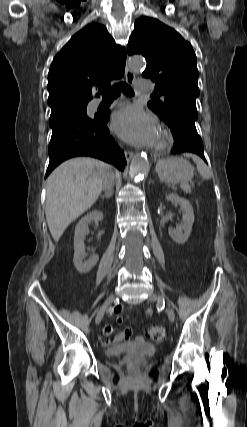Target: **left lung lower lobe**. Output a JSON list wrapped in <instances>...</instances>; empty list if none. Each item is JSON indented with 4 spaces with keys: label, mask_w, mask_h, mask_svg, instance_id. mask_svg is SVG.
I'll list each match as a JSON object with an SVG mask.
<instances>
[{
    "label": "left lung lower lobe",
    "mask_w": 247,
    "mask_h": 427,
    "mask_svg": "<svg viewBox=\"0 0 247 427\" xmlns=\"http://www.w3.org/2000/svg\"><path fill=\"white\" fill-rule=\"evenodd\" d=\"M167 125L171 128L172 135L176 140V143L171 149V153H193L206 162L203 143L197 133L195 121H191L184 117H176L169 121Z\"/></svg>",
    "instance_id": "obj_1"
}]
</instances>
